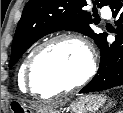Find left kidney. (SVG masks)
I'll use <instances>...</instances> for the list:
<instances>
[{
  "instance_id": "5707ae66",
  "label": "left kidney",
  "mask_w": 123,
  "mask_h": 113,
  "mask_svg": "<svg viewBox=\"0 0 123 113\" xmlns=\"http://www.w3.org/2000/svg\"><path fill=\"white\" fill-rule=\"evenodd\" d=\"M118 113H123V111H119Z\"/></svg>"
}]
</instances>
